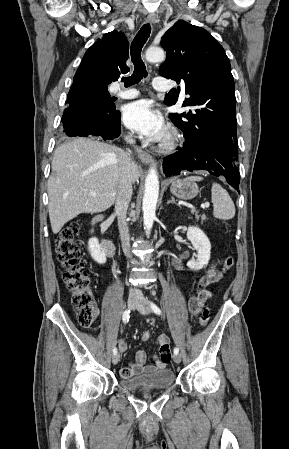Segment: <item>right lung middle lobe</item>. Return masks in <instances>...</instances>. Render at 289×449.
<instances>
[{"label":"right lung middle lobe","instance_id":"1","mask_svg":"<svg viewBox=\"0 0 289 449\" xmlns=\"http://www.w3.org/2000/svg\"><path fill=\"white\" fill-rule=\"evenodd\" d=\"M112 102L113 100L109 92H107V88L95 91L81 113V117L85 119H104L112 110Z\"/></svg>","mask_w":289,"mask_h":449}]
</instances>
